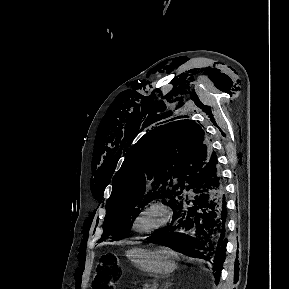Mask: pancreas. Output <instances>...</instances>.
<instances>
[{"label": "pancreas", "instance_id": "1", "mask_svg": "<svg viewBox=\"0 0 289 289\" xmlns=\"http://www.w3.org/2000/svg\"><path fill=\"white\" fill-rule=\"evenodd\" d=\"M143 289H155V288L154 285L145 284Z\"/></svg>", "mask_w": 289, "mask_h": 289}]
</instances>
